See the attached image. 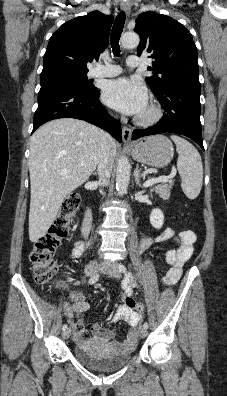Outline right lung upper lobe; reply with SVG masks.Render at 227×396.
I'll return each instance as SVG.
<instances>
[{
  "label": "right lung upper lobe",
  "mask_w": 227,
  "mask_h": 396,
  "mask_svg": "<svg viewBox=\"0 0 227 396\" xmlns=\"http://www.w3.org/2000/svg\"><path fill=\"white\" fill-rule=\"evenodd\" d=\"M112 22L113 16L93 11L64 23L49 40L43 70H88L86 64L106 48Z\"/></svg>",
  "instance_id": "1"
}]
</instances>
